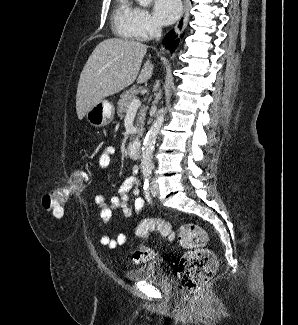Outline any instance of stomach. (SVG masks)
Wrapping results in <instances>:
<instances>
[{
  "instance_id": "obj_1",
  "label": "stomach",
  "mask_w": 298,
  "mask_h": 325,
  "mask_svg": "<svg viewBox=\"0 0 298 325\" xmlns=\"http://www.w3.org/2000/svg\"><path fill=\"white\" fill-rule=\"evenodd\" d=\"M115 106L111 100H101L94 104L86 114V118L93 126H107L113 120Z\"/></svg>"
}]
</instances>
